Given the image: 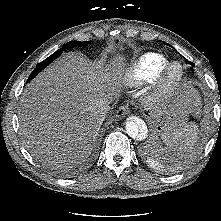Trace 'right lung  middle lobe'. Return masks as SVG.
I'll use <instances>...</instances> for the list:
<instances>
[{"mask_svg": "<svg viewBox=\"0 0 221 221\" xmlns=\"http://www.w3.org/2000/svg\"><path fill=\"white\" fill-rule=\"evenodd\" d=\"M89 43H90V41H85V42L70 41V42L66 43L62 48H60L55 53L50 55L47 59H45L40 64H38V66L30 74L29 80L34 78L39 71L44 69L48 64H50L53 60H55L58 56H60L62 54V51H65V50H67L69 48H72V47H75V46H84V45H87Z\"/></svg>", "mask_w": 221, "mask_h": 221, "instance_id": "right-lung-middle-lobe-1", "label": "right lung middle lobe"}]
</instances>
